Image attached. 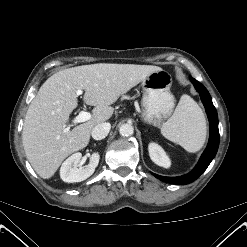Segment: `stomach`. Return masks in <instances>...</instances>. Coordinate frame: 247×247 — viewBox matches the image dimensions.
I'll use <instances>...</instances> for the list:
<instances>
[{"label": "stomach", "instance_id": "1", "mask_svg": "<svg viewBox=\"0 0 247 247\" xmlns=\"http://www.w3.org/2000/svg\"><path fill=\"white\" fill-rule=\"evenodd\" d=\"M171 85L172 76L163 69L152 72L141 81L144 122L160 127L171 116L175 106Z\"/></svg>", "mask_w": 247, "mask_h": 247}]
</instances>
